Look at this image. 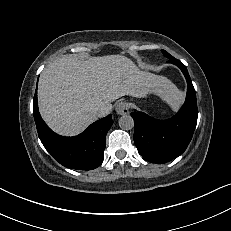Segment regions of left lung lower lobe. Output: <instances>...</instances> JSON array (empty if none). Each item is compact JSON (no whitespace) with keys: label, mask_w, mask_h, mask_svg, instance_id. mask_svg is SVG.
Wrapping results in <instances>:
<instances>
[{"label":"left lung lower lobe","mask_w":231,"mask_h":231,"mask_svg":"<svg viewBox=\"0 0 231 231\" xmlns=\"http://www.w3.org/2000/svg\"><path fill=\"white\" fill-rule=\"evenodd\" d=\"M168 62L178 66L187 80L186 101L180 111L167 120H157L139 111L131 113L138 152L145 160L157 164L169 162L186 150L198 116L196 93L186 66L175 58Z\"/></svg>","instance_id":"0a47b994"}]
</instances>
